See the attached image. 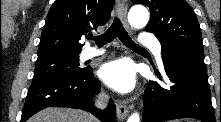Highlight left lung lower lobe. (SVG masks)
Returning a JSON list of instances; mask_svg holds the SVG:
<instances>
[{
	"label": "left lung lower lobe",
	"instance_id": "left-lung-lower-lobe-1",
	"mask_svg": "<svg viewBox=\"0 0 221 122\" xmlns=\"http://www.w3.org/2000/svg\"><path fill=\"white\" fill-rule=\"evenodd\" d=\"M171 84L168 88L150 81L144 94L142 122L197 118L215 122L207 70L203 59L173 55L163 59ZM159 77L160 74L156 72Z\"/></svg>",
	"mask_w": 221,
	"mask_h": 122
}]
</instances>
